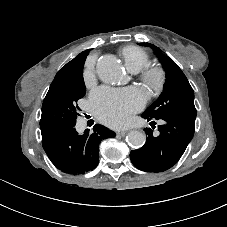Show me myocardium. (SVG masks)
<instances>
[{"label": "myocardium", "instance_id": "obj_1", "mask_svg": "<svg viewBox=\"0 0 227 227\" xmlns=\"http://www.w3.org/2000/svg\"><path fill=\"white\" fill-rule=\"evenodd\" d=\"M139 79L151 93H157L163 88L166 75L161 67L145 66L140 70Z\"/></svg>", "mask_w": 227, "mask_h": 227}]
</instances>
